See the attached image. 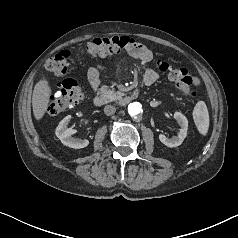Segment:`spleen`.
I'll list each match as a JSON object with an SVG mask.
<instances>
[{
    "mask_svg": "<svg viewBox=\"0 0 238 238\" xmlns=\"http://www.w3.org/2000/svg\"><path fill=\"white\" fill-rule=\"evenodd\" d=\"M193 119L199 133L205 136L209 129V113L204 101L196 103L193 110Z\"/></svg>",
    "mask_w": 238,
    "mask_h": 238,
    "instance_id": "3e777b00",
    "label": "spleen"
}]
</instances>
